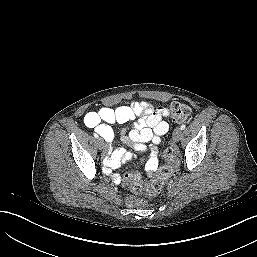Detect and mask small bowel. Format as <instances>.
Instances as JSON below:
<instances>
[{
  "instance_id": "obj_1",
  "label": "small bowel",
  "mask_w": 257,
  "mask_h": 257,
  "mask_svg": "<svg viewBox=\"0 0 257 257\" xmlns=\"http://www.w3.org/2000/svg\"><path fill=\"white\" fill-rule=\"evenodd\" d=\"M168 115V111L163 107L154 108L146 100H137L116 108L104 106L98 111L88 112L84 117V123L111 144L114 140L111 124L125 123L138 117L133 126L123 132L121 138L124 143L133 144L136 150L146 151L147 144H158L161 137L167 133L169 125L164 118ZM130 158L131 153L118 148L112 152L104 164L106 169L110 170L117 168ZM144 163L148 173L157 169L159 154L155 147L148 150ZM111 178L115 183L121 181L118 174H111ZM129 204H132V201H129Z\"/></svg>"
}]
</instances>
